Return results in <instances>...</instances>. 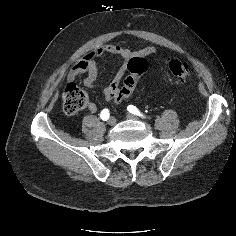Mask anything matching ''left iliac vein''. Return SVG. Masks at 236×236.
Here are the masks:
<instances>
[{
	"mask_svg": "<svg viewBox=\"0 0 236 236\" xmlns=\"http://www.w3.org/2000/svg\"><path fill=\"white\" fill-rule=\"evenodd\" d=\"M127 118L131 119V120H138V117H136L135 115L130 114V113L127 114Z\"/></svg>",
	"mask_w": 236,
	"mask_h": 236,
	"instance_id": "left-iliac-vein-1",
	"label": "left iliac vein"
}]
</instances>
